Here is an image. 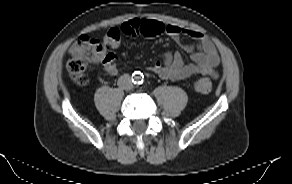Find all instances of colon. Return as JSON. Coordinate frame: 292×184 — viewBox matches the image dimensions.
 Returning <instances> with one entry per match:
<instances>
[{
  "label": "colon",
  "mask_w": 292,
  "mask_h": 184,
  "mask_svg": "<svg viewBox=\"0 0 292 184\" xmlns=\"http://www.w3.org/2000/svg\"><path fill=\"white\" fill-rule=\"evenodd\" d=\"M162 33L163 26L159 21L146 20L143 23V36L153 38ZM121 36L120 28H112L101 40L88 35L78 37L70 48L71 57L67 62V69L72 80L78 85H86L89 81L86 74L87 65L93 61L98 52L116 48L120 44ZM194 88L196 91L206 94L211 91L212 82L208 78H200L195 81Z\"/></svg>",
  "instance_id": "1"
}]
</instances>
